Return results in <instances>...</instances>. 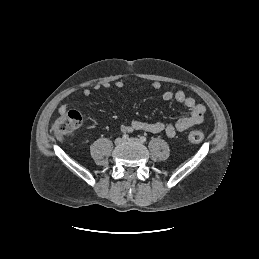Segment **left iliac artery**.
<instances>
[{
	"label": "left iliac artery",
	"mask_w": 259,
	"mask_h": 259,
	"mask_svg": "<svg viewBox=\"0 0 259 259\" xmlns=\"http://www.w3.org/2000/svg\"><path fill=\"white\" fill-rule=\"evenodd\" d=\"M146 140H147V139H146L145 136H141V137H140V141H141V142H146Z\"/></svg>",
	"instance_id": "obj_1"
}]
</instances>
